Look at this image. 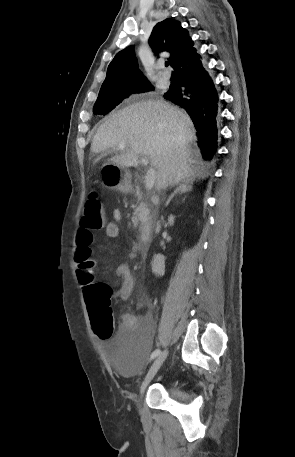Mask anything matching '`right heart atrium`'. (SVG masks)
<instances>
[{"label":"right heart atrium","instance_id":"1","mask_svg":"<svg viewBox=\"0 0 295 457\" xmlns=\"http://www.w3.org/2000/svg\"><path fill=\"white\" fill-rule=\"evenodd\" d=\"M140 93H141L140 91H134V92H132V96H138V95H140Z\"/></svg>","mask_w":295,"mask_h":457}]
</instances>
